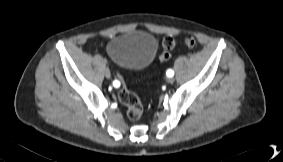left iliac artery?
<instances>
[{
	"label": "left iliac artery",
	"mask_w": 283,
	"mask_h": 162,
	"mask_svg": "<svg viewBox=\"0 0 283 162\" xmlns=\"http://www.w3.org/2000/svg\"><path fill=\"white\" fill-rule=\"evenodd\" d=\"M166 74H167L168 77H172L174 75V71L169 69V70H167Z\"/></svg>",
	"instance_id": "obj_1"
}]
</instances>
